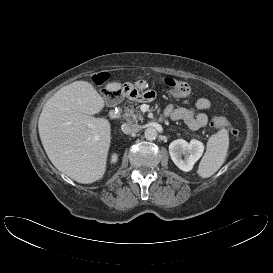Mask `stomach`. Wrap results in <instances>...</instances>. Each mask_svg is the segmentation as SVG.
<instances>
[{"mask_svg": "<svg viewBox=\"0 0 273 273\" xmlns=\"http://www.w3.org/2000/svg\"><path fill=\"white\" fill-rule=\"evenodd\" d=\"M143 87H129L127 91L123 90V96L137 102H151L155 99L153 90L143 91Z\"/></svg>", "mask_w": 273, "mask_h": 273, "instance_id": "stomach-1", "label": "stomach"}]
</instances>
